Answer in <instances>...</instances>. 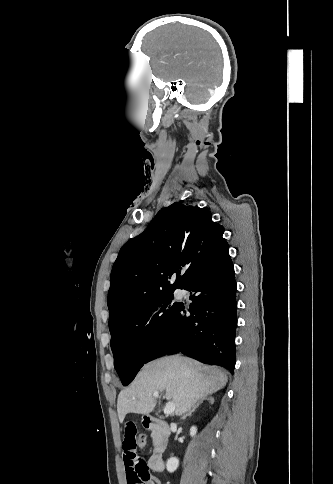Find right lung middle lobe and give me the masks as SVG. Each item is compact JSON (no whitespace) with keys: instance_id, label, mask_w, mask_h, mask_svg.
I'll use <instances>...</instances> for the list:
<instances>
[{"instance_id":"right-lung-middle-lobe-1","label":"right lung middle lobe","mask_w":333,"mask_h":484,"mask_svg":"<svg viewBox=\"0 0 333 484\" xmlns=\"http://www.w3.org/2000/svg\"><path fill=\"white\" fill-rule=\"evenodd\" d=\"M173 292L155 298L132 310L109 326L114 367L123 385H128L158 340L170 327L179 307Z\"/></svg>"}]
</instances>
